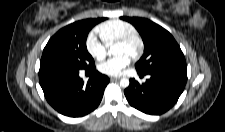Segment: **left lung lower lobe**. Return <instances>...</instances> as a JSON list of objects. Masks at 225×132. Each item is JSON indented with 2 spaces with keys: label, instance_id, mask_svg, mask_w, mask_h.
<instances>
[{
  "label": "left lung lower lobe",
  "instance_id": "0a47b994",
  "mask_svg": "<svg viewBox=\"0 0 225 132\" xmlns=\"http://www.w3.org/2000/svg\"><path fill=\"white\" fill-rule=\"evenodd\" d=\"M138 74L140 77L146 75ZM147 74L150 79L143 84L130 79L124 93L134 108L146 114L159 115L169 110L183 92L187 81L186 69H157Z\"/></svg>",
  "mask_w": 225,
  "mask_h": 132
}]
</instances>
